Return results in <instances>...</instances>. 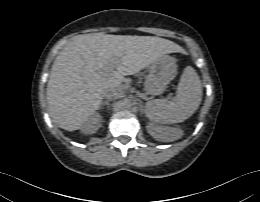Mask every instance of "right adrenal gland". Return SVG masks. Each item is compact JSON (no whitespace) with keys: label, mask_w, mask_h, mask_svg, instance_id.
Returning a JSON list of instances; mask_svg holds the SVG:
<instances>
[{"label":"right adrenal gland","mask_w":260,"mask_h":202,"mask_svg":"<svg viewBox=\"0 0 260 202\" xmlns=\"http://www.w3.org/2000/svg\"><path fill=\"white\" fill-rule=\"evenodd\" d=\"M109 103H110V100L104 101L103 104H102V108H103L104 106H108V107H109Z\"/></svg>","instance_id":"1"}]
</instances>
